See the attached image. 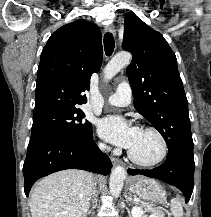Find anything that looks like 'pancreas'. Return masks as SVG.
Returning a JSON list of instances; mask_svg holds the SVG:
<instances>
[{"label": "pancreas", "instance_id": "cf45deb5", "mask_svg": "<svg viewBox=\"0 0 211 217\" xmlns=\"http://www.w3.org/2000/svg\"><path fill=\"white\" fill-rule=\"evenodd\" d=\"M141 207L145 209V211L150 212L154 217H164V212L162 210L151 207L146 202H138Z\"/></svg>", "mask_w": 211, "mask_h": 217}]
</instances>
